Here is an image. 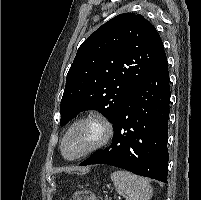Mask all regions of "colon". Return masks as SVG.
I'll return each instance as SVG.
<instances>
[{
    "label": "colon",
    "mask_w": 201,
    "mask_h": 200,
    "mask_svg": "<svg viewBox=\"0 0 201 200\" xmlns=\"http://www.w3.org/2000/svg\"><path fill=\"white\" fill-rule=\"evenodd\" d=\"M70 200H100L93 192L75 191Z\"/></svg>",
    "instance_id": "colon-1"
}]
</instances>
